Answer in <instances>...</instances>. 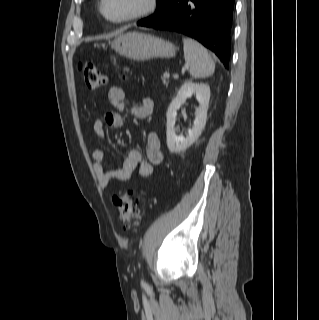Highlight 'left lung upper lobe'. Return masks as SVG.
I'll list each match as a JSON object with an SVG mask.
<instances>
[{"instance_id": "left-lung-upper-lobe-1", "label": "left lung upper lobe", "mask_w": 319, "mask_h": 320, "mask_svg": "<svg viewBox=\"0 0 319 320\" xmlns=\"http://www.w3.org/2000/svg\"><path fill=\"white\" fill-rule=\"evenodd\" d=\"M162 1H163V0H157L158 6L162 3ZM158 6H157V7H158Z\"/></svg>"}]
</instances>
